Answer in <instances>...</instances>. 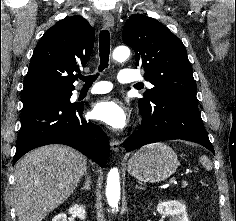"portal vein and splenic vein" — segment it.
<instances>
[{
	"mask_svg": "<svg viewBox=\"0 0 236 221\" xmlns=\"http://www.w3.org/2000/svg\"><path fill=\"white\" fill-rule=\"evenodd\" d=\"M170 183H176L175 179H173L172 181H170ZM184 184H186V182H184Z\"/></svg>",
	"mask_w": 236,
	"mask_h": 221,
	"instance_id": "obj_1",
	"label": "portal vein and splenic vein"
}]
</instances>
